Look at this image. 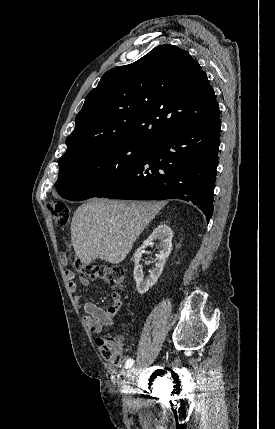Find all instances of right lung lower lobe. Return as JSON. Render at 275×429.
<instances>
[{
  "label": "right lung lower lobe",
  "instance_id": "right-lung-lower-lobe-1",
  "mask_svg": "<svg viewBox=\"0 0 275 429\" xmlns=\"http://www.w3.org/2000/svg\"><path fill=\"white\" fill-rule=\"evenodd\" d=\"M221 122L219 115L170 131L148 144L139 166L96 197L113 199L191 201L205 214L213 213V191Z\"/></svg>",
  "mask_w": 275,
  "mask_h": 429
}]
</instances>
